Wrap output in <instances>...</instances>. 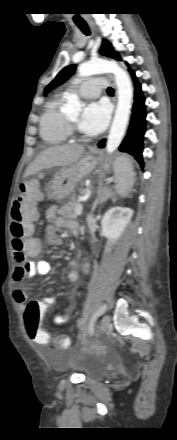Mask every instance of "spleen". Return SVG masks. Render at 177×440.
I'll return each instance as SVG.
<instances>
[{
    "mask_svg": "<svg viewBox=\"0 0 177 440\" xmlns=\"http://www.w3.org/2000/svg\"><path fill=\"white\" fill-rule=\"evenodd\" d=\"M118 176L116 181L117 189L119 193L127 192L131 189L134 184V173L132 171L131 165L129 162H126L123 166L118 167V171H115Z\"/></svg>",
    "mask_w": 177,
    "mask_h": 440,
    "instance_id": "1",
    "label": "spleen"
}]
</instances>
